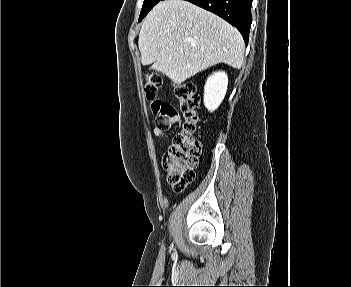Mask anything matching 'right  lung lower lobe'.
<instances>
[{
    "label": "right lung lower lobe",
    "instance_id": "98d812e1",
    "mask_svg": "<svg viewBox=\"0 0 351 287\" xmlns=\"http://www.w3.org/2000/svg\"><path fill=\"white\" fill-rule=\"evenodd\" d=\"M220 16L234 25L248 44L252 0H186Z\"/></svg>",
    "mask_w": 351,
    "mask_h": 287
}]
</instances>
